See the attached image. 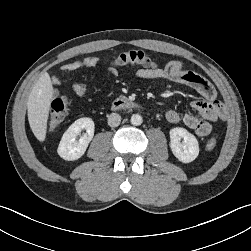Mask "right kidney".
I'll return each instance as SVG.
<instances>
[{"label": "right kidney", "mask_w": 251, "mask_h": 251, "mask_svg": "<svg viewBox=\"0 0 251 251\" xmlns=\"http://www.w3.org/2000/svg\"><path fill=\"white\" fill-rule=\"evenodd\" d=\"M86 133L81 135V130ZM95 125L91 118L83 117L77 119L63 134L57 152L61 158L68 161L79 159L85 153L90 141L94 136Z\"/></svg>", "instance_id": "1"}]
</instances>
